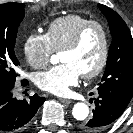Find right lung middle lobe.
Wrapping results in <instances>:
<instances>
[{"instance_id": "right-lung-middle-lobe-1", "label": "right lung middle lobe", "mask_w": 133, "mask_h": 133, "mask_svg": "<svg viewBox=\"0 0 133 133\" xmlns=\"http://www.w3.org/2000/svg\"><path fill=\"white\" fill-rule=\"evenodd\" d=\"M23 3L0 5V91L12 89L20 65L14 52L18 27L24 18Z\"/></svg>"}]
</instances>
